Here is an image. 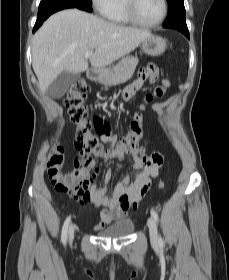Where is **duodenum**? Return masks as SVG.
<instances>
[{
    "label": "duodenum",
    "mask_w": 229,
    "mask_h": 280,
    "mask_svg": "<svg viewBox=\"0 0 229 280\" xmlns=\"http://www.w3.org/2000/svg\"><path fill=\"white\" fill-rule=\"evenodd\" d=\"M87 76H88V78H89L91 81H95V80L98 78L99 73H98V72H95V71H89V72L87 73Z\"/></svg>",
    "instance_id": "duodenum-1"
}]
</instances>
